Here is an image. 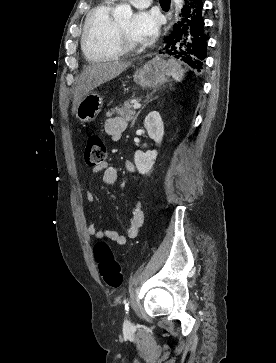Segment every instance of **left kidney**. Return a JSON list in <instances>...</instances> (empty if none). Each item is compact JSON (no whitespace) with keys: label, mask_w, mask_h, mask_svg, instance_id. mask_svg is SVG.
<instances>
[{"label":"left kidney","mask_w":276,"mask_h":363,"mask_svg":"<svg viewBox=\"0 0 276 363\" xmlns=\"http://www.w3.org/2000/svg\"><path fill=\"white\" fill-rule=\"evenodd\" d=\"M144 127L146 128L149 137L153 139L156 144L162 142L164 125L159 112H150L144 120ZM157 155V150L147 151L146 153L137 150L134 155V162L138 172L142 175L148 174L153 168Z\"/></svg>","instance_id":"1"}]
</instances>
